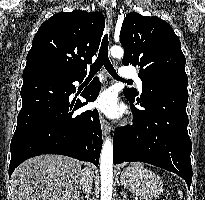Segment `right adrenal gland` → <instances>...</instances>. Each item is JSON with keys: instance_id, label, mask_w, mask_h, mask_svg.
<instances>
[{"instance_id": "right-adrenal-gland-1", "label": "right adrenal gland", "mask_w": 205, "mask_h": 200, "mask_svg": "<svg viewBox=\"0 0 205 200\" xmlns=\"http://www.w3.org/2000/svg\"><path fill=\"white\" fill-rule=\"evenodd\" d=\"M79 200H83V196H81V199H79Z\"/></svg>"}]
</instances>
